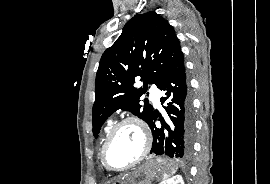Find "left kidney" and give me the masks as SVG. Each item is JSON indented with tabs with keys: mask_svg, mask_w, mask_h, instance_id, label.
<instances>
[{
	"mask_svg": "<svg viewBox=\"0 0 270 184\" xmlns=\"http://www.w3.org/2000/svg\"><path fill=\"white\" fill-rule=\"evenodd\" d=\"M160 184H184L183 178L180 175L162 181Z\"/></svg>",
	"mask_w": 270,
	"mask_h": 184,
	"instance_id": "5707ae66",
	"label": "left kidney"
}]
</instances>
